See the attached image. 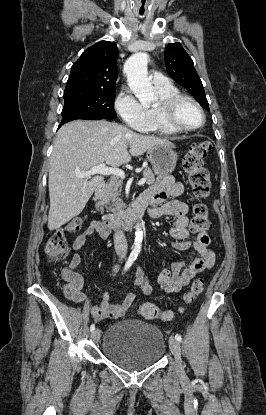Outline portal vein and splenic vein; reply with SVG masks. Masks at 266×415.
Listing matches in <instances>:
<instances>
[{
	"label": "portal vein and splenic vein",
	"mask_w": 266,
	"mask_h": 415,
	"mask_svg": "<svg viewBox=\"0 0 266 415\" xmlns=\"http://www.w3.org/2000/svg\"><path fill=\"white\" fill-rule=\"evenodd\" d=\"M94 174L100 175H114L122 179L125 178V173L122 169L118 167H107L104 163H101L97 166H93L90 170L86 172H78L75 174L77 178H88ZM146 182V178L140 179L138 185H143Z\"/></svg>",
	"instance_id": "portal-vein-and-splenic-vein-1"
}]
</instances>
